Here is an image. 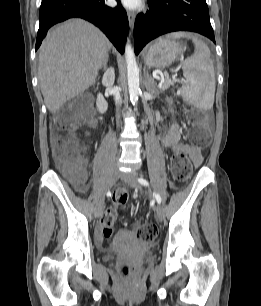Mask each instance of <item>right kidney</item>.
Here are the masks:
<instances>
[{"label":"right kidney","instance_id":"1","mask_svg":"<svg viewBox=\"0 0 261 306\" xmlns=\"http://www.w3.org/2000/svg\"><path fill=\"white\" fill-rule=\"evenodd\" d=\"M114 80H115V72L114 69L111 67L105 71L102 78V84L106 87H110L113 85ZM96 105L100 113L103 114L107 111L108 104L101 93L97 95Z\"/></svg>","mask_w":261,"mask_h":306}]
</instances>
